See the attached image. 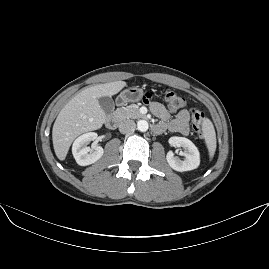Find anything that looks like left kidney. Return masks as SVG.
<instances>
[{
    "label": "left kidney",
    "instance_id": "5707ae66",
    "mask_svg": "<svg viewBox=\"0 0 269 269\" xmlns=\"http://www.w3.org/2000/svg\"><path fill=\"white\" fill-rule=\"evenodd\" d=\"M168 142L171 146L184 148L182 153L185 157L184 160L175 157L172 151L167 153L166 160L172 169L183 172L196 169L199 166L200 154L192 141L185 137L173 136L169 138Z\"/></svg>",
    "mask_w": 269,
    "mask_h": 269
}]
</instances>
